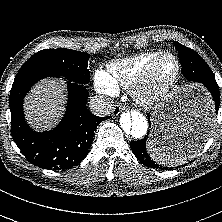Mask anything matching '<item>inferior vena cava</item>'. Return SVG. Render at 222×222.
<instances>
[{"label":"inferior vena cava","mask_w":222,"mask_h":222,"mask_svg":"<svg viewBox=\"0 0 222 222\" xmlns=\"http://www.w3.org/2000/svg\"><path fill=\"white\" fill-rule=\"evenodd\" d=\"M90 110L97 116H105L112 112V100L106 96H94L89 102Z\"/></svg>","instance_id":"602c4592"}]
</instances>
